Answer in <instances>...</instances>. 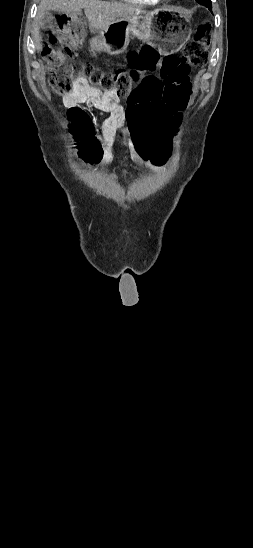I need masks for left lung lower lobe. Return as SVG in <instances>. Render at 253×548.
Listing matches in <instances>:
<instances>
[{"label":"left lung lower lobe","instance_id":"1","mask_svg":"<svg viewBox=\"0 0 253 548\" xmlns=\"http://www.w3.org/2000/svg\"><path fill=\"white\" fill-rule=\"evenodd\" d=\"M198 3L205 5L209 8V10H212L211 6V0H196Z\"/></svg>","mask_w":253,"mask_h":548}]
</instances>
